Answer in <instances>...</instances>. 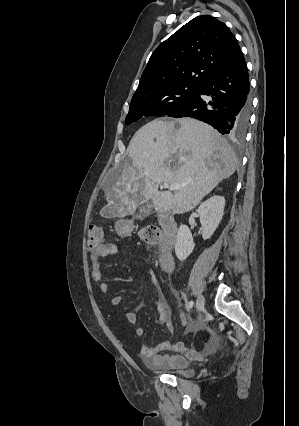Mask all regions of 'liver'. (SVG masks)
Listing matches in <instances>:
<instances>
[{
	"label": "liver",
	"mask_w": 299,
	"mask_h": 426,
	"mask_svg": "<svg viewBox=\"0 0 299 426\" xmlns=\"http://www.w3.org/2000/svg\"><path fill=\"white\" fill-rule=\"evenodd\" d=\"M129 157L132 164L105 188L108 204L102 216L125 217L149 200L158 213L188 212L237 168L227 141L211 126L192 118L148 122L132 137ZM161 183L185 186L172 193L159 191Z\"/></svg>",
	"instance_id": "liver-1"
}]
</instances>
